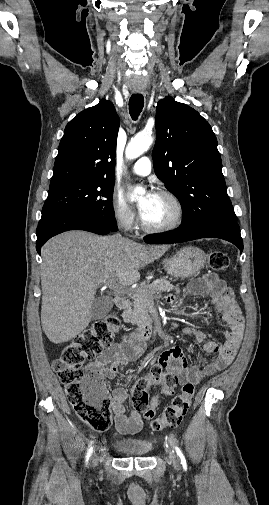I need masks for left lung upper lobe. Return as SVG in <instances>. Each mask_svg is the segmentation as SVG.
Listing matches in <instances>:
<instances>
[{
  "label": "left lung upper lobe",
  "mask_w": 269,
  "mask_h": 505,
  "mask_svg": "<svg viewBox=\"0 0 269 505\" xmlns=\"http://www.w3.org/2000/svg\"><path fill=\"white\" fill-rule=\"evenodd\" d=\"M152 157L157 177L182 205L179 228L194 229L221 218L237 220L227 194L216 136L193 108L170 96L157 103Z\"/></svg>",
  "instance_id": "5c2ea615"
}]
</instances>
